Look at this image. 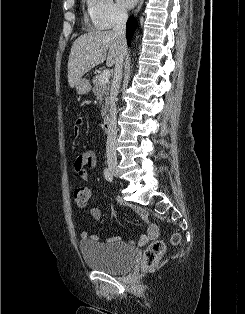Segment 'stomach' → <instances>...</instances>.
<instances>
[{
	"label": "stomach",
	"instance_id": "obj_1",
	"mask_svg": "<svg viewBox=\"0 0 245 314\" xmlns=\"http://www.w3.org/2000/svg\"><path fill=\"white\" fill-rule=\"evenodd\" d=\"M75 88L79 95H85L91 90V85L89 80H87L86 78H80L77 81Z\"/></svg>",
	"mask_w": 245,
	"mask_h": 314
}]
</instances>
